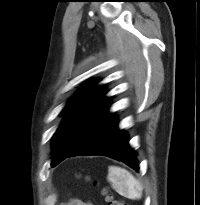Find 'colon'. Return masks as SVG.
Segmentation results:
<instances>
[{
  "label": "colon",
  "mask_w": 200,
  "mask_h": 205,
  "mask_svg": "<svg viewBox=\"0 0 200 205\" xmlns=\"http://www.w3.org/2000/svg\"><path fill=\"white\" fill-rule=\"evenodd\" d=\"M106 201L108 205H125L123 201L115 199L111 194H109L107 191L104 192Z\"/></svg>",
  "instance_id": "obj_1"
}]
</instances>
